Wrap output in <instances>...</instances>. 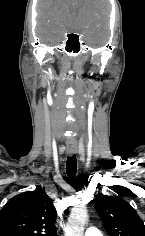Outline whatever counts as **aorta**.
<instances>
[{
	"instance_id": "1",
	"label": "aorta",
	"mask_w": 145,
	"mask_h": 236,
	"mask_svg": "<svg viewBox=\"0 0 145 236\" xmlns=\"http://www.w3.org/2000/svg\"><path fill=\"white\" fill-rule=\"evenodd\" d=\"M87 217V208L84 204L74 206L68 219L65 236H84Z\"/></svg>"
}]
</instances>
